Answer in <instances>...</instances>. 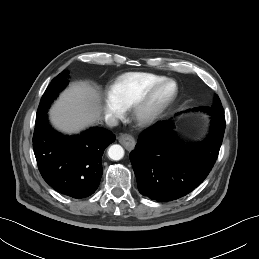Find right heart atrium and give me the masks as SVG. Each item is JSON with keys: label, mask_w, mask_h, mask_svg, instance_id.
Listing matches in <instances>:
<instances>
[{"label": "right heart atrium", "mask_w": 259, "mask_h": 259, "mask_svg": "<svg viewBox=\"0 0 259 259\" xmlns=\"http://www.w3.org/2000/svg\"><path fill=\"white\" fill-rule=\"evenodd\" d=\"M124 114V110L118 105L108 100L106 103V115L109 119L120 118Z\"/></svg>", "instance_id": "right-heart-atrium-1"}]
</instances>
